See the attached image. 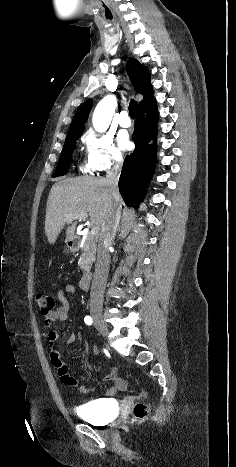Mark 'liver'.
I'll return each mask as SVG.
<instances>
[{
	"label": "liver",
	"instance_id": "liver-1",
	"mask_svg": "<svg viewBox=\"0 0 236 467\" xmlns=\"http://www.w3.org/2000/svg\"><path fill=\"white\" fill-rule=\"evenodd\" d=\"M113 204L119 207L122 199L115 200L105 178H67L55 183L49 193L46 207L45 234L54 244L67 224L65 242L75 238L78 223L90 216L91 224L102 227ZM72 216L68 219V216Z\"/></svg>",
	"mask_w": 236,
	"mask_h": 467
}]
</instances>
